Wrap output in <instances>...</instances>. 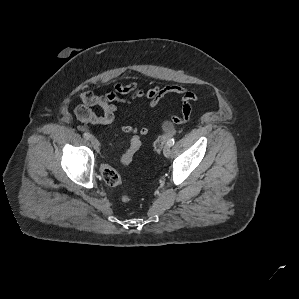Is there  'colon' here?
<instances>
[{
    "mask_svg": "<svg viewBox=\"0 0 299 299\" xmlns=\"http://www.w3.org/2000/svg\"><path fill=\"white\" fill-rule=\"evenodd\" d=\"M176 131L174 129H168L163 135L159 136L154 142H153V149L156 152H160L169 138H171ZM142 146V138L140 135L135 134L132 135L128 144L127 149L121 156V162L123 164H129L132 161V158L134 155L139 151V149ZM101 175L104 180V182L109 186H118L122 183V178L120 174L112 167L110 166H103L101 169ZM124 201H128L129 197L124 196Z\"/></svg>",
    "mask_w": 299,
    "mask_h": 299,
    "instance_id": "1",
    "label": "colon"
}]
</instances>
